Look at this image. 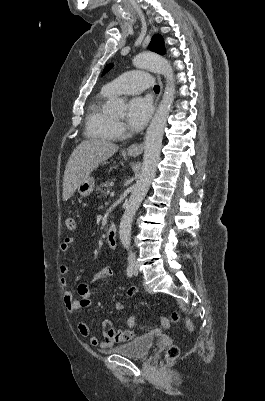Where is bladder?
Listing matches in <instances>:
<instances>
[{
	"mask_svg": "<svg viewBox=\"0 0 265 401\" xmlns=\"http://www.w3.org/2000/svg\"><path fill=\"white\" fill-rule=\"evenodd\" d=\"M154 341L152 336H141L123 346L111 348L110 351L128 356L143 357L150 351Z\"/></svg>",
	"mask_w": 265,
	"mask_h": 401,
	"instance_id": "1",
	"label": "bladder"
}]
</instances>
